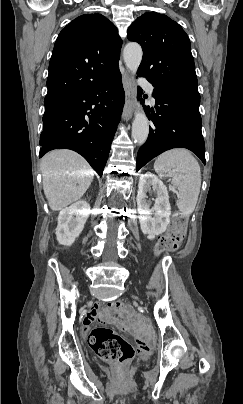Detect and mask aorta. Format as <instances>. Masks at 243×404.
<instances>
[{
	"instance_id": "1",
	"label": "aorta",
	"mask_w": 243,
	"mask_h": 404,
	"mask_svg": "<svg viewBox=\"0 0 243 404\" xmlns=\"http://www.w3.org/2000/svg\"><path fill=\"white\" fill-rule=\"evenodd\" d=\"M143 52L141 46L139 44H135V42H130V44H126L123 50V58L125 62V66L131 74H136L142 60ZM136 112L132 124V140H134L135 144H145L148 134H149V122L147 120V116H145L139 102H136Z\"/></svg>"
}]
</instances>
